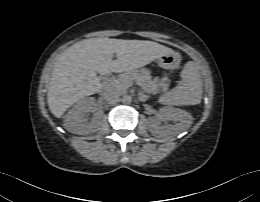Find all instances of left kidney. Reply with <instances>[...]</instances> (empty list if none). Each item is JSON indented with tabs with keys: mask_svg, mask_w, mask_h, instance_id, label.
Instances as JSON below:
<instances>
[{
	"mask_svg": "<svg viewBox=\"0 0 260 202\" xmlns=\"http://www.w3.org/2000/svg\"><path fill=\"white\" fill-rule=\"evenodd\" d=\"M191 119L189 113L184 110L164 107L160 109V117H150L148 119V127L151 134L155 137L161 138L169 135H177L183 131ZM175 121L176 125L160 126V121Z\"/></svg>",
	"mask_w": 260,
	"mask_h": 202,
	"instance_id": "1",
	"label": "left kidney"
}]
</instances>
